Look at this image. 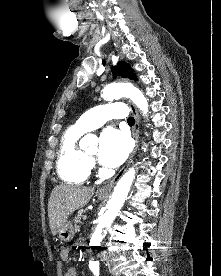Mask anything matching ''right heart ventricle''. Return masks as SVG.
<instances>
[{
  "label": "right heart ventricle",
  "mask_w": 221,
  "mask_h": 276,
  "mask_svg": "<svg viewBox=\"0 0 221 276\" xmlns=\"http://www.w3.org/2000/svg\"><path fill=\"white\" fill-rule=\"evenodd\" d=\"M83 134L76 127L65 131L61 138L57 172L60 178L72 184L84 183L91 171V162L86 153L78 146V139Z\"/></svg>",
  "instance_id": "e07e8e85"
}]
</instances>
